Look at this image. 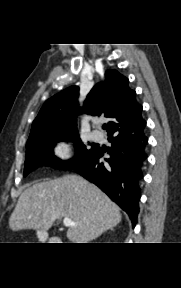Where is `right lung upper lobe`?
<instances>
[{"instance_id": "cb5924a9", "label": "right lung upper lobe", "mask_w": 181, "mask_h": 288, "mask_svg": "<svg viewBox=\"0 0 181 288\" xmlns=\"http://www.w3.org/2000/svg\"><path fill=\"white\" fill-rule=\"evenodd\" d=\"M128 79L116 70L105 72V82L95 85L82 107L86 114L101 115L108 122V136L126 130L141 129L146 122L141 117L142 106ZM79 87L71 86L48 99L32 124L29 139L51 132L77 133L76 118L81 108L77 98Z\"/></svg>"}]
</instances>
